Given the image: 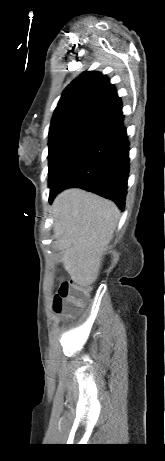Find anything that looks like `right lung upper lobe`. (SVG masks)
I'll return each mask as SVG.
<instances>
[{
    "label": "right lung upper lobe",
    "mask_w": 165,
    "mask_h": 461,
    "mask_svg": "<svg viewBox=\"0 0 165 461\" xmlns=\"http://www.w3.org/2000/svg\"><path fill=\"white\" fill-rule=\"evenodd\" d=\"M122 113L121 100L109 79L98 72H83L63 91L52 121L93 115L106 122Z\"/></svg>",
    "instance_id": "right-lung-upper-lobe-1"
}]
</instances>
